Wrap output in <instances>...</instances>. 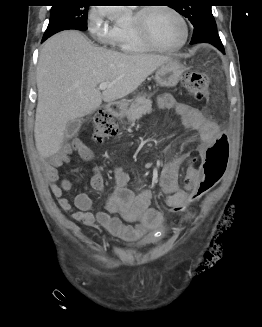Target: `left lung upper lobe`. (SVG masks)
Here are the masks:
<instances>
[{"instance_id":"1","label":"left lung upper lobe","mask_w":262,"mask_h":327,"mask_svg":"<svg viewBox=\"0 0 262 327\" xmlns=\"http://www.w3.org/2000/svg\"><path fill=\"white\" fill-rule=\"evenodd\" d=\"M175 3V2H174ZM199 4H195L193 6H184V5H174V9L178 11L180 14L189 19V21L193 24L194 30L206 19L213 18L211 6L206 4V1L199 0L197 1Z\"/></svg>"}]
</instances>
